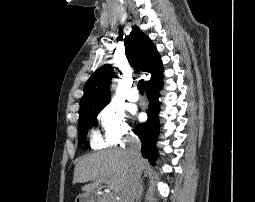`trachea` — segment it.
<instances>
[{"mask_svg":"<svg viewBox=\"0 0 255 202\" xmlns=\"http://www.w3.org/2000/svg\"><path fill=\"white\" fill-rule=\"evenodd\" d=\"M137 87H138L139 92H140L141 94H144V80H143V79H141V80L138 82Z\"/></svg>","mask_w":255,"mask_h":202,"instance_id":"1","label":"trachea"}]
</instances>
